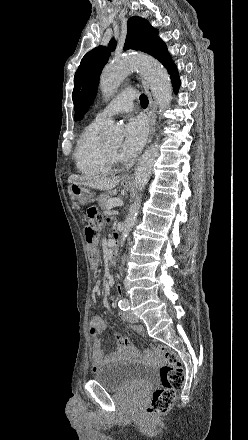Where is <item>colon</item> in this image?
I'll list each match as a JSON object with an SVG mask.
<instances>
[{
    "instance_id": "1",
    "label": "colon",
    "mask_w": 248,
    "mask_h": 440,
    "mask_svg": "<svg viewBox=\"0 0 248 440\" xmlns=\"http://www.w3.org/2000/svg\"><path fill=\"white\" fill-rule=\"evenodd\" d=\"M87 226L85 228L86 241L93 245L97 241V225L99 219L94 210L88 211L86 216ZM90 261L93 266L98 263L96 252L90 250ZM154 349L163 355L164 362L159 369L161 386L152 395L151 403L147 408L149 416H160L166 414L171 408L177 390L184 382V370L177 354L165 345L154 343Z\"/></svg>"
}]
</instances>
